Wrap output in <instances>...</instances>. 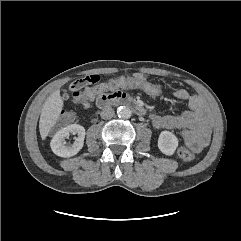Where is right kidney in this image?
<instances>
[{
    "instance_id": "1",
    "label": "right kidney",
    "mask_w": 241,
    "mask_h": 241,
    "mask_svg": "<svg viewBox=\"0 0 241 241\" xmlns=\"http://www.w3.org/2000/svg\"><path fill=\"white\" fill-rule=\"evenodd\" d=\"M70 134H76L73 144L67 146L66 138ZM85 138V129L81 125L71 124L59 130L53 137L50 147L54 154L60 157L68 158L76 155L83 147Z\"/></svg>"
}]
</instances>
